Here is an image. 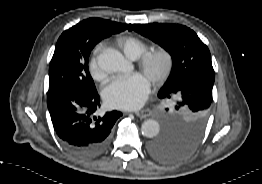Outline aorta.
<instances>
[{"label":"aorta","instance_id":"762f6f07","mask_svg":"<svg viewBox=\"0 0 262 184\" xmlns=\"http://www.w3.org/2000/svg\"><path fill=\"white\" fill-rule=\"evenodd\" d=\"M142 134L148 138H153L157 136L160 130V125L158 121L153 119H148L144 121L141 127Z\"/></svg>","mask_w":262,"mask_h":184}]
</instances>
